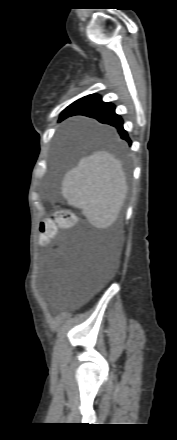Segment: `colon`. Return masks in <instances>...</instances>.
<instances>
[{
    "instance_id": "colon-1",
    "label": "colon",
    "mask_w": 177,
    "mask_h": 440,
    "mask_svg": "<svg viewBox=\"0 0 177 440\" xmlns=\"http://www.w3.org/2000/svg\"><path fill=\"white\" fill-rule=\"evenodd\" d=\"M76 222V216L73 212L67 209L58 210L50 218L41 222L40 234L41 242H49L57 234L60 228H69Z\"/></svg>"
}]
</instances>
